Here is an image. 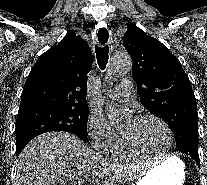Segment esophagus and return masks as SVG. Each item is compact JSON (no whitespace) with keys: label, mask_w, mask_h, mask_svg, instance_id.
<instances>
[{"label":"esophagus","mask_w":207,"mask_h":185,"mask_svg":"<svg viewBox=\"0 0 207 185\" xmlns=\"http://www.w3.org/2000/svg\"><path fill=\"white\" fill-rule=\"evenodd\" d=\"M98 29H95L93 33L95 34L94 40L99 44L109 43V34L108 33H98ZM100 30H107V25H100Z\"/></svg>","instance_id":"34e87169"}]
</instances>
